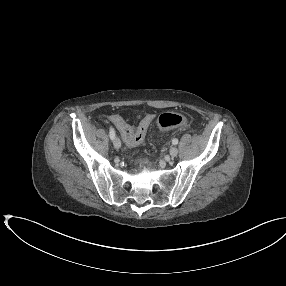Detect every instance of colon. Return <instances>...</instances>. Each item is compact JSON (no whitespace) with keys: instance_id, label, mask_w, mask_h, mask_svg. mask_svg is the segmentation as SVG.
<instances>
[{"instance_id":"5ec220e1","label":"colon","mask_w":286,"mask_h":286,"mask_svg":"<svg viewBox=\"0 0 286 286\" xmlns=\"http://www.w3.org/2000/svg\"><path fill=\"white\" fill-rule=\"evenodd\" d=\"M187 123V118L179 113H164L161 114L157 119V126L160 130H168L180 127ZM149 123L144 121L140 123L133 135L126 139L128 146L140 145L147 134Z\"/></svg>"}]
</instances>
